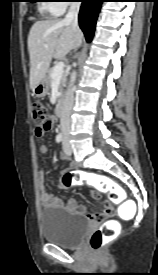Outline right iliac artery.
<instances>
[{
  "label": "right iliac artery",
  "mask_w": 158,
  "mask_h": 275,
  "mask_svg": "<svg viewBox=\"0 0 158 275\" xmlns=\"http://www.w3.org/2000/svg\"><path fill=\"white\" fill-rule=\"evenodd\" d=\"M63 140V135L61 133H59L57 136H56V141L59 143Z\"/></svg>",
  "instance_id": "right-iliac-artery-1"
}]
</instances>
